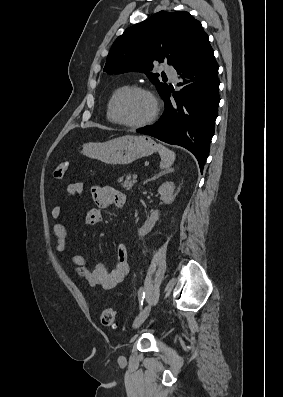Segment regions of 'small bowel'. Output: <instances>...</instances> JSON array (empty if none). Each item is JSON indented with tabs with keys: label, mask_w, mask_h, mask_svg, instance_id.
<instances>
[{
	"label": "small bowel",
	"mask_w": 283,
	"mask_h": 397,
	"mask_svg": "<svg viewBox=\"0 0 283 397\" xmlns=\"http://www.w3.org/2000/svg\"><path fill=\"white\" fill-rule=\"evenodd\" d=\"M66 191L69 196L76 197L83 194L84 185L81 182H72L67 185ZM91 196L95 206L89 208L85 216V222L89 225H97L101 222V209L110 206L121 208L126 203L124 193L108 186H93ZM51 215L54 220L55 250L61 253L66 248L67 230L61 222L62 212L60 206H54ZM72 261L75 265L74 274L76 276L86 279L89 286L100 287L104 290L113 289L123 281L129 272L128 252L124 244H119L116 248V263L112 270H108L104 264H96L93 269H88L86 259L81 254L73 255Z\"/></svg>",
	"instance_id": "c3829d8e"
}]
</instances>
